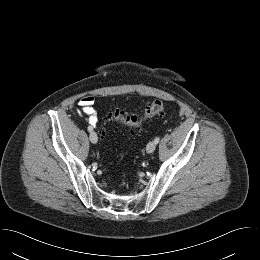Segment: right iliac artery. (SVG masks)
I'll return each mask as SVG.
<instances>
[{
	"mask_svg": "<svg viewBox=\"0 0 260 260\" xmlns=\"http://www.w3.org/2000/svg\"><path fill=\"white\" fill-rule=\"evenodd\" d=\"M92 130H93V129H92V127H91V126H89V127H88V131H90V132H91Z\"/></svg>",
	"mask_w": 260,
	"mask_h": 260,
	"instance_id": "1",
	"label": "right iliac artery"
}]
</instances>
